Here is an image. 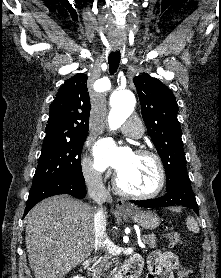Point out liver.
<instances>
[{"mask_svg":"<svg viewBox=\"0 0 221 278\" xmlns=\"http://www.w3.org/2000/svg\"><path fill=\"white\" fill-rule=\"evenodd\" d=\"M95 212V207L61 195L28 213L25 242L35 278H63L91 255Z\"/></svg>","mask_w":221,"mask_h":278,"instance_id":"obj_1","label":"liver"}]
</instances>
